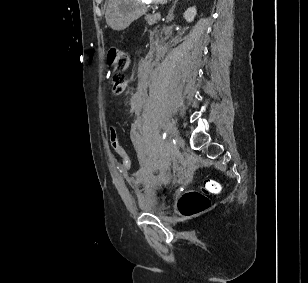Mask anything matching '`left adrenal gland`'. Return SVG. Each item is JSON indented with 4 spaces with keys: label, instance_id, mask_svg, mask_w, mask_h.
Segmentation results:
<instances>
[{
    "label": "left adrenal gland",
    "instance_id": "1",
    "mask_svg": "<svg viewBox=\"0 0 308 283\" xmlns=\"http://www.w3.org/2000/svg\"><path fill=\"white\" fill-rule=\"evenodd\" d=\"M177 1H178V0H175V2H174V4H173L172 8L170 9V11H169V13H168L167 22H171V21L174 19L173 11H174V9H175V6H176V4H177Z\"/></svg>",
    "mask_w": 308,
    "mask_h": 283
}]
</instances>
